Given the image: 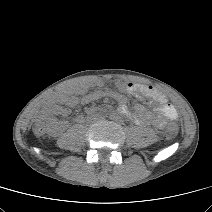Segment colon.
Returning <instances> with one entry per match:
<instances>
[{"label": "colon", "instance_id": "5ec220e1", "mask_svg": "<svg viewBox=\"0 0 212 212\" xmlns=\"http://www.w3.org/2000/svg\"><path fill=\"white\" fill-rule=\"evenodd\" d=\"M52 130V124H47L44 121H37L33 126V132L37 136H44ZM168 132L170 135H175L178 132V125L171 123L168 126Z\"/></svg>", "mask_w": 212, "mask_h": 212}]
</instances>
